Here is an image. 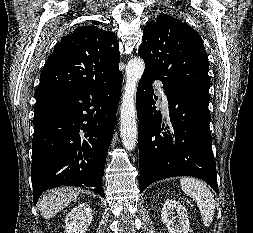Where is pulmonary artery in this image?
I'll return each instance as SVG.
<instances>
[{"mask_svg": "<svg viewBox=\"0 0 253 233\" xmlns=\"http://www.w3.org/2000/svg\"><path fill=\"white\" fill-rule=\"evenodd\" d=\"M156 87L158 88V93L161 96L162 103H163L165 109H167V104H168L167 95H166L164 89L162 88L161 84H156Z\"/></svg>", "mask_w": 253, "mask_h": 233, "instance_id": "obj_1", "label": "pulmonary artery"}]
</instances>
